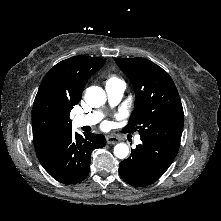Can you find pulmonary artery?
Masks as SVG:
<instances>
[{"instance_id": "pulmonary-artery-1", "label": "pulmonary artery", "mask_w": 221, "mask_h": 221, "mask_svg": "<svg viewBox=\"0 0 221 221\" xmlns=\"http://www.w3.org/2000/svg\"><path fill=\"white\" fill-rule=\"evenodd\" d=\"M125 91V84L122 81L110 82L106 84V93L111 106L120 102ZM103 117L101 112H93L84 115H78L74 118L76 126H92L97 124ZM135 142H140V136L135 138Z\"/></svg>"}]
</instances>
